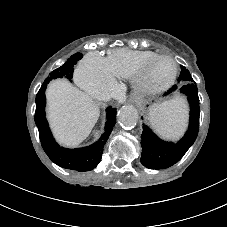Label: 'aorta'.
<instances>
[{"instance_id":"1","label":"aorta","mask_w":227,"mask_h":227,"mask_svg":"<svg viewBox=\"0 0 227 227\" xmlns=\"http://www.w3.org/2000/svg\"><path fill=\"white\" fill-rule=\"evenodd\" d=\"M138 112L133 106H123L118 112V121L125 129L134 128L138 122Z\"/></svg>"}]
</instances>
